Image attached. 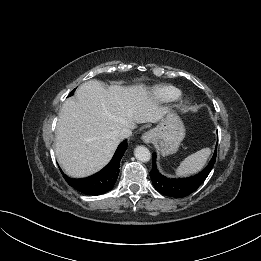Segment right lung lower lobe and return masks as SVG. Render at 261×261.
<instances>
[{"label":"right lung lower lobe","mask_w":261,"mask_h":261,"mask_svg":"<svg viewBox=\"0 0 261 261\" xmlns=\"http://www.w3.org/2000/svg\"><path fill=\"white\" fill-rule=\"evenodd\" d=\"M127 149V140H124L117 148L110 163L100 172L82 179H73L65 175L66 182L77 191L86 195H101L110 191L116 183L119 175L120 161Z\"/></svg>","instance_id":"right-lung-lower-lobe-1"}]
</instances>
